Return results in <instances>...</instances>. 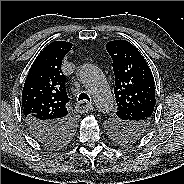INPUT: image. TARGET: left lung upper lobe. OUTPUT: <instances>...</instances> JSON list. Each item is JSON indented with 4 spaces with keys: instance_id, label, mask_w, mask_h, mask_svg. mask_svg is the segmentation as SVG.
<instances>
[{
    "instance_id": "5c2ea615",
    "label": "left lung upper lobe",
    "mask_w": 184,
    "mask_h": 184,
    "mask_svg": "<svg viewBox=\"0 0 184 184\" xmlns=\"http://www.w3.org/2000/svg\"><path fill=\"white\" fill-rule=\"evenodd\" d=\"M113 60L116 117L109 134L121 143L136 141L148 128L156 103L151 70L138 49L126 40L106 44Z\"/></svg>"
}]
</instances>
